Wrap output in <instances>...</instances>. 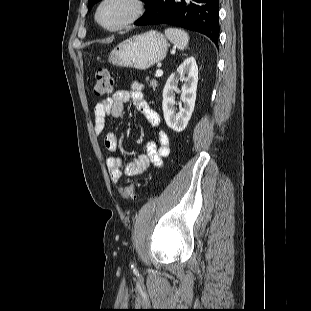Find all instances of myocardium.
Wrapping results in <instances>:
<instances>
[{"label":"myocardium","instance_id":"f54148a6","mask_svg":"<svg viewBox=\"0 0 311 311\" xmlns=\"http://www.w3.org/2000/svg\"><path fill=\"white\" fill-rule=\"evenodd\" d=\"M111 1L113 0H101L95 11V19L97 23L107 31L116 32V31L126 29L129 26H131L133 23H135L141 17L143 13L142 0H121L129 5V8H130L129 14L124 20H122L117 25L108 26L102 22L100 18V12L103 6Z\"/></svg>","mask_w":311,"mask_h":311}]
</instances>
